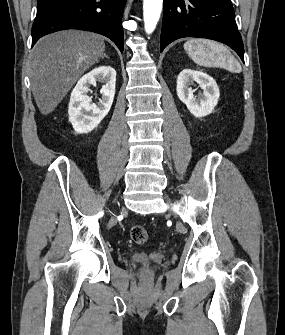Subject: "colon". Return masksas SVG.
Instances as JSON below:
<instances>
[{
    "mask_svg": "<svg viewBox=\"0 0 285 335\" xmlns=\"http://www.w3.org/2000/svg\"><path fill=\"white\" fill-rule=\"evenodd\" d=\"M131 239L137 244H144L148 240V233L141 225H134L130 229Z\"/></svg>",
    "mask_w": 285,
    "mask_h": 335,
    "instance_id": "5ec220e1",
    "label": "colon"
}]
</instances>
